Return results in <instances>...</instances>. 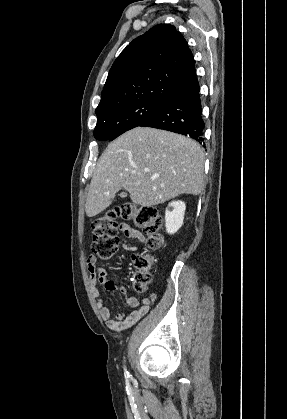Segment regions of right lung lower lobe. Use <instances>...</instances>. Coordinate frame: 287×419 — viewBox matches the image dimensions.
Wrapping results in <instances>:
<instances>
[{"mask_svg":"<svg viewBox=\"0 0 287 419\" xmlns=\"http://www.w3.org/2000/svg\"><path fill=\"white\" fill-rule=\"evenodd\" d=\"M199 91L198 87L172 97L139 126L168 130L202 142L205 124Z\"/></svg>","mask_w":287,"mask_h":419,"instance_id":"right-lung-lower-lobe-1","label":"right lung lower lobe"}]
</instances>
